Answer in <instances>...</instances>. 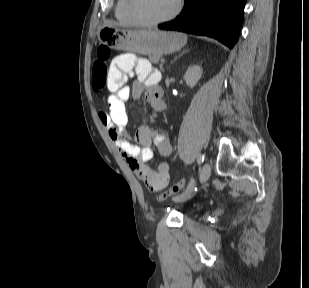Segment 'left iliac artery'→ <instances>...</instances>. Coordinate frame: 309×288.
Returning a JSON list of instances; mask_svg holds the SVG:
<instances>
[{
	"mask_svg": "<svg viewBox=\"0 0 309 288\" xmlns=\"http://www.w3.org/2000/svg\"><path fill=\"white\" fill-rule=\"evenodd\" d=\"M203 161H204V155H199L198 158H197V163H198V164H201ZM194 189L196 190V188H195V183H194V180L191 179V181H190V183H189V185H188V187H187L186 190H189V191H192V192H193ZM183 194H184V192H183L182 194L176 196L175 198H173V200H178V199H180V196H182Z\"/></svg>",
	"mask_w": 309,
	"mask_h": 288,
	"instance_id": "44dca946",
	"label": "left iliac artery"
}]
</instances>
